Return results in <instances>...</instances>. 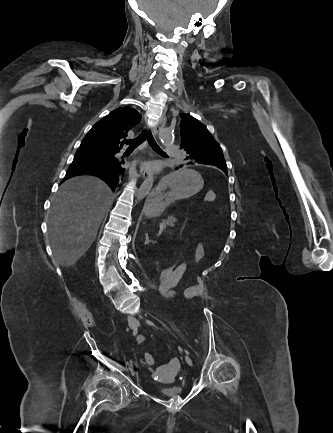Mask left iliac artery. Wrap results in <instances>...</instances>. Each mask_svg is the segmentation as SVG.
Wrapping results in <instances>:
<instances>
[{"mask_svg":"<svg viewBox=\"0 0 333 433\" xmlns=\"http://www.w3.org/2000/svg\"><path fill=\"white\" fill-rule=\"evenodd\" d=\"M146 322H147L149 325L155 327V325H154V323H153L152 321H150V320H146ZM179 349H182V348L179 347ZM184 351H185L186 354H189V352H188L187 350H184Z\"/></svg>","mask_w":333,"mask_h":433,"instance_id":"44dca946","label":"left iliac artery"}]
</instances>
